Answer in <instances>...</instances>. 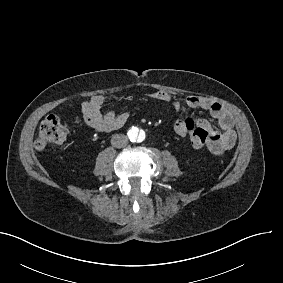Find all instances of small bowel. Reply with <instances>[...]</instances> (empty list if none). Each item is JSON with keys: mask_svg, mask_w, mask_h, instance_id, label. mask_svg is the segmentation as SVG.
I'll return each mask as SVG.
<instances>
[{"mask_svg": "<svg viewBox=\"0 0 283 283\" xmlns=\"http://www.w3.org/2000/svg\"><path fill=\"white\" fill-rule=\"evenodd\" d=\"M146 97L156 101L171 103L177 111L183 108L208 111L220 128L218 130L209 121L201 120L203 128L208 129L212 135L211 143L206 147L211 153L222 155L235 145L237 134L232 114L221 104L210 98L201 95H190L180 100L175 99L169 92L163 90L148 92ZM103 104L104 97L100 94L92 96L83 103L82 112L86 123L99 132H110L123 127L129 119L128 112H104ZM186 119L179 118L174 123V130L181 137H186L182 130L183 122Z\"/></svg>", "mask_w": 283, "mask_h": 283, "instance_id": "small-bowel-1", "label": "small bowel"}]
</instances>
